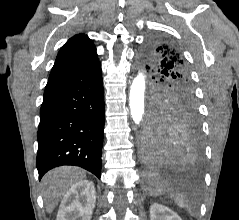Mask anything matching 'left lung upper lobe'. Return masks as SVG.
Returning a JSON list of instances; mask_svg holds the SVG:
<instances>
[{
  "instance_id": "5c2ea615",
  "label": "left lung upper lobe",
  "mask_w": 239,
  "mask_h": 220,
  "mask_svg": "<svg viewBox=\"0 0 239 220\" xmlns=\"http://www.w3.org/2000/svg\"><path fill=\"white\" fill-rule=\"evenodd\" d=\"M141 59L155 80L151 112H196L189 67L175 43L163 37H151L141 53Z\"/></svg>"
}]
</instances>
